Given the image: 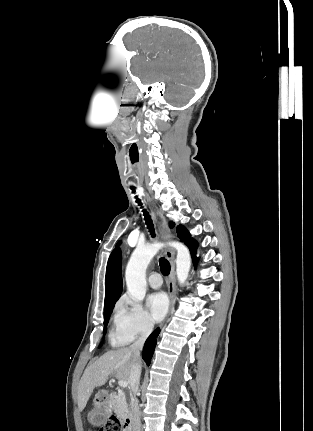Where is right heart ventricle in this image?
I'll return each mask as SVG.
<instances>
[{
  "label": "right heart ventricle",
  "mask_w": 313,
  "mask_h": 431,
  "mask_svg": "<svg viewBox=\"0 0 313 431\" xmlns=\"http://www.w3.org/2000/svg\"><path fill=\"white\" fill-rule=\"evenodd\" d=\"M114 323H115V329L111 333L112 343L115 345H122V344H126V343L130 342L131 338L117 328V326H116V315L114 318Z\"/></svg>",
  "instance_id": "right-heart-ventricle-1"
}]
</instances>
